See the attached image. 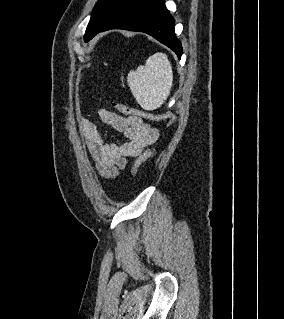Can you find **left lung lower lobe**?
<instances>
[{
    "instance_id": "1",
    "label": "left lung lower lobe",
    "mask_w": 284,
    "mask_h": 319,
    "mask_svg": "<svg viewBox=\"0 0 284 319\" xmlns=\"http://www.w3.org/2000/svg\"><path fill=\"white\" fill-rule=\"evenodd\" d=\"M174 24L164 0H124L99 32L111 29L144 32L168 46L180 59L182 45L174 33Z\"/></svg>"
}]
</instances>
